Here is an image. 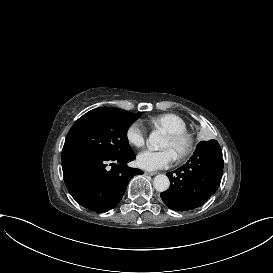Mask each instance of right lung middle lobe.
Returning <instances> with one entry per match:
<instances>
[{
  "mask_svg": "<svg viewBox=\"0 0 273 273\" xmlns=\"http://www.w3.org/2000/svg\"><path fill=\"white\" fill-rule=\"evenodd\" d=\"M140 114L113 107H100L87 112L67 134L62 162L77 156L114 157L131 151L126 131Z\"/></svg>",
  "mask_w": 273,
  "mask_h": 273,
  "instance_id": "1",
  "label": "right lung middle lobe"
}]
</instances>
